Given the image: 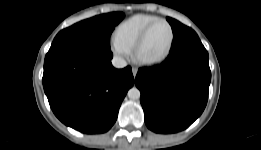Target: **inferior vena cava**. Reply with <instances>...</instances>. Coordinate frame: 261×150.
Listing matches in <instances>:
<instances>
[{
  "mask_svg": "<svg viewBox=\"0 0 261 150\" xmlns=\"http://www.w3.org/2000/svg\"><path fill=\"white\" fill-rule=\"evenodd\" d=\"M112 65L115 68H124L127 66V62L123 58L115 56L112 59Z\"/></svg>",
  "mask_w": 261,
  "mask_h": 150,
  "instance_id": "inferior-vena-cava-1",
  "label": "inferior vena cava"
}]
</instances>
